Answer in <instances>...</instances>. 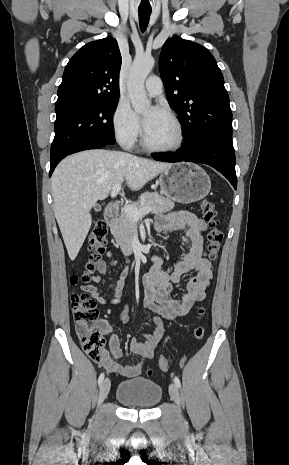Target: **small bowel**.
<instances>
[{
	"label": "small bowel",
	"mask_w": 289,
	"mask_h": 465,
	"mask_svg": "<svg viewBox=\"0 0 289 465\" xmlns=\"http://www.w3.org/2000/svg\"><path fill=\"white\" fill-rule=\"evenodd\" d=\"M155 229L164 234L183 230L188 239V248L180 255L173 271L164 268L161 258H156L150 271L143 277L144 301L143 306L160 314L164 319L173 320L178 316L186 315L196 302L202 301L211 285V266L206 259L204 249V233L207 230L205 222L194 214L186 211L169 212L157 218ZM109 262L100 260L96 264V270L105 274L117 264L113 251L107 253ZM128 263V261H127ZM194 272L195 275L187 283V289L180 298L175 297V285L181 277ZM127 270H123L113 289L111 298L104 296L100 289L94 285H83L82 289L100 305L120 304L123 298L124 281ZM92 280L100 283L102 277L93 275ZM122 322L128 321V308L124 306L119 314ZM102 331L109 336L108 348L104 352L99 363L108 371L119 373L124 377L139 375L143 368V362L128 366L119 363L122 357L120 340L113 333L112 327L105 321L99 322ZM165 333L163 322L160 318L153 319V330L145 333L142 339L132 338L129 348L132 353L149 359L154 356L155 349Z\"/></svg>",
	"instance_id": "obj_1"
}]
</instances>
